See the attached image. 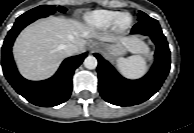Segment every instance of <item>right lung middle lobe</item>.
<instances>
[{
  "mask_svg": "<svg viewBox=\"0 0 194 133\" xmlns=\"http://www.w3.org/2000/svg\"><path fill=\"white\" fill-rule=\"evenodd\" d=\"M56 10L64 13L66 11V8H64L62 6H58V8H56L55 5H41V6H38L36 8H33V9L27 11L26 13L22 14L20 17L42 18L46 15L55 13Z\"/></svg>",
  "mask_w": 194,
  "mask_h": 133,
  "instance_id": "1",
  "label": "right lung middle lobe"
}]
</instances>
